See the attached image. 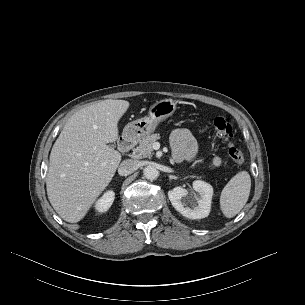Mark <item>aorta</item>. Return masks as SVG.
Returning <instances> with one entry per match:
<instances>
[{
    "instance_id": "obj_1",
    "label": "aorta",
    "mask_w": 305,
    "mask_h": 305,
    "mask_svg": "<svg viewBox=\"0 0 305 305\" xmlns=\"http://www.w3.org/2000/svg\"><path fill=\"white\" fill-rule=\"evenodd\" d=\"M143 174L146 179L154 180L158 177V170L154 166H147L143 169Z\"/></svg>"
}]
</instances>
